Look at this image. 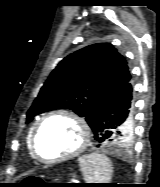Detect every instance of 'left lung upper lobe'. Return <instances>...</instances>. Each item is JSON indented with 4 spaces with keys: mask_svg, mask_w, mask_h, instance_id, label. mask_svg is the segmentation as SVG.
<instances>
[{
    "mask_svg": "<svg viewBox=\"0 0 160 187\" xmlns=\"http://www.w3.org/2000/svg\"><path fill=\"white\" fill-rule=\"evenodd\" d=\"M130 79L124 57L111 44L89 45L65 57L51 72L27 112L26 123L46 111L70 109L92 128L103 103ZM132 136L133 127L124 148L130 147Z\"/></svg>",
    "mask_w": 160,
    "mask_h": 187,
    "instance_id": "5c2ea615",
    "label": "left lung upper lobe"
}]
</instances>
